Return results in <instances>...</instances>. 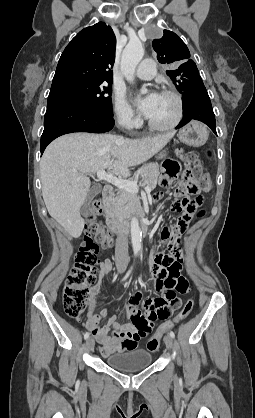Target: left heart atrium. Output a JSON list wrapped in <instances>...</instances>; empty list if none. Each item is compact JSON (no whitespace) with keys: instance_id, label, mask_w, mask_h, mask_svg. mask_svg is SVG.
Returning <instances> with one entry per match:
<instances>
[{"instance_id":"obj_1","label":"left heart atrium","mask_w":255,"mask_h":418,"mask_svg":"<svg viewBox=\"0 0 255 418\" xmlns=\"http://www.w3.org/2000/svg\"><path fill=\"white\" fill-rule=\"evenodd\" d=\"M158 99H159V94L155 91H152L144 97H137L136 102H137V106L140 112L144 116L149 117Z\"/></svg>"}]
</instances>
